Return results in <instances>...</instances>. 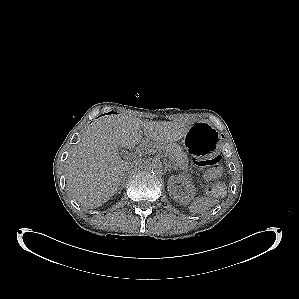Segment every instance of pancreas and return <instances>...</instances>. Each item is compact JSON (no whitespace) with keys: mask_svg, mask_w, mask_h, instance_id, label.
I'll return each instance as SVG.
<instances>
[{"mask_svg":"<svg viewBox=\"0 0 299 299\" xmlns=\"http://www.w3.org/2000/svg\"><path fill=\"white\" fill-rule=\"evenodd\" d=\"M157 147L163 149L166 151L169 155L172 161H174L175 168H180L185 171L188 169V157L183 152L182 148L177 145V144H161V143H156L155 144Z\"/></svg>","mask_w":299,"mask_h":299,"instance_id":"obj_1","label":"pancreas"}]
</instances>
